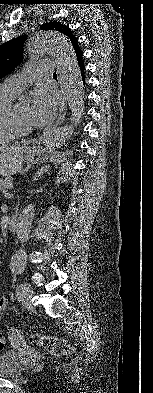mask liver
Listing matches in <instances>:
<instances>
[{"label": "liver", "mask_w": 153, "mask_h": 393, "mask_svg": "<svg viewBox=\"0 0 153 393\" xmlns=\"http://www.w3.org/2000/svg\"><path fill=\"white\" fill-rule=\"evenodd\" d=\"M25 149L20 146L0 147V175L11 176L19 173L23 167Z\"/></svg>", "instance_id": "liver-1"}]
</instances>
